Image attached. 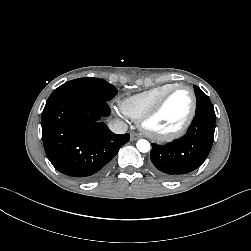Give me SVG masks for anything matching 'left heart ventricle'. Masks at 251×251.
I'll list each match as a JSON object with an SVG mask.
<instances>
[{"label": "left heart ventricle", "instance_id": "b2bd125f", "mask_svg": "<svg viewBox=\"0 0 251 251\" xmlns=\"http://www.w3.org/2000/svg\"><path fill=\"white\" fill-rule=\"evenodd\" d=\"M192 97L188 90L173 92L159 113L149 122V128L157 133H169L178 129L191 110Z\"/></svg>", "mask_w": 251, "mask_h": 251}]
</instances>
